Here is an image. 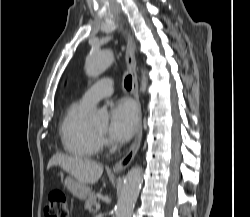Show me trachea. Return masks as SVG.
I'll return each mask as SVG.
<instances>
[{
	"instance_id": "1",
	"label": "trachea",
	"mask_w": 250,
	"mask_h": 217,
	"mask_svg": "<svg viewBox=\"0 0 250 217\" xmlns=\"http://www.w3.org/2000/svg\"><path fill=\"white\" fill-rule=\"evenodd\" d=\"M124 86L126 89H131L132 87V76L131 75H127L125 80H124Z\"/></svg>"
}]
</instances>
